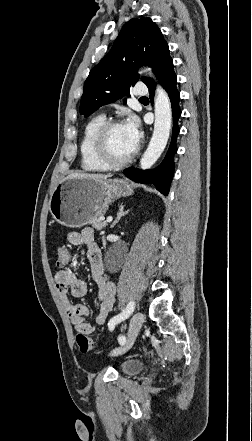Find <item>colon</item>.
I'll return each instance as SVG.
<instances>
[{
  "instance_id": "1",
  "label": "colon",
  "mask_w": 252,
  "mask_h": 441,
  "mask_svg": "<svg viewBox=\"0 0 252 441\" xmlns=\"http://www.w3.org/2000/svg\"><path fill=\"white\" fill-rule=\"evenodd\" d=\"M71 255L69 249L62 245L57 249V266L64 267L69 264ZM76 342L81 352L86 353L91 349L90 339L82 332H78L76 335Z\"/></svg>"
}]
</instances>
